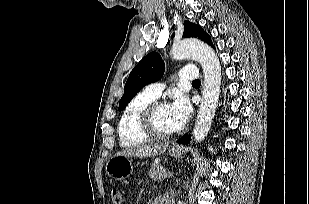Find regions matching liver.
Returning <instances> with one entry per match:
<instances>
[{
	"instance_id": "obj_1",
	"label": "liver",
	"mask_w": 309,
	"mask_h": 204,
	"mask_svg": "<svg viewBox=\"0 0 309 204\" xmlns=\"http://www.w3.org/2000/svg\"><path fill=\"white\" fill-rule=\"evenodd\" d=\"M168 143H160L154 145H145L139 147H133L125 149L120 152V155L133 156V157H154L160 155L166 151Z\"/></svg>"
}]
</instances>
